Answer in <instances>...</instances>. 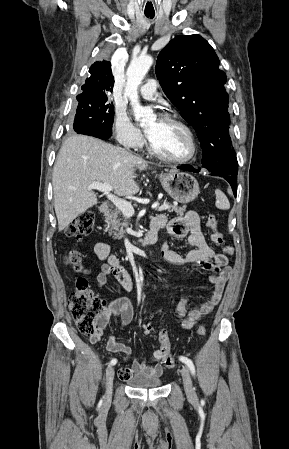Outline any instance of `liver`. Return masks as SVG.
<instances>
[{
  "mask_svg": "<svg viewBox=\"0 0 289 449\" xmlns=\"http://www.w3.org/2000/svg\"><path fill=\"white\" fill-rule=\"evenodd\" d=\"M148 163L125 149L99 139L73 135L63 143L53 167L54 208L62 231L80 214L98 203L93 182L108 183L118 196L138 193L137 170Z\"/></svg>",
  "mask_w": 289,
  "mask_h": 449,
  "instance_id": "6515ba94",
  "label": "liver"
}]
</instances>
